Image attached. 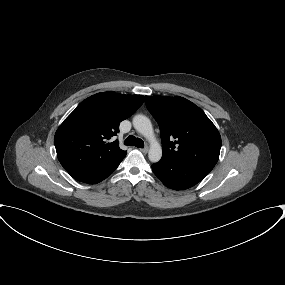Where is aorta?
<instances>
[{"mask_svg": "<svg viewBox=\"0 0 285 285\" xmlns=\"http://www.w3.org/2000/svg\"><path fill=\"white\" fill-rule=\"evenodd\" d=\"M133 126L136 131L142 134L150 142V149L148 152L149 160L151 162H158L162 157V148L155 139L150 119L144 115H136L133 118Z\"/></svg>", "mask_w": 285, "mask_h": 285, "instance_id": "aorta-1", "label": "aorta"}]
</instances>
